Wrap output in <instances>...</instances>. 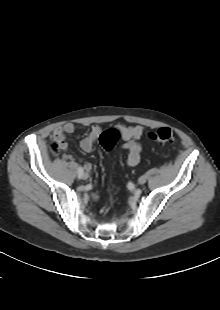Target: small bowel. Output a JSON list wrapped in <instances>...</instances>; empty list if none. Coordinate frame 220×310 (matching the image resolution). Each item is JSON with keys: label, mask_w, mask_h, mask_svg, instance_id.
Segmentation results:
<instances>
[{"label": "small bowel", "mask_w": 220, "mask_h": 310, "mask_svg": "<svg viewBox=\"0 0 220 310\" xmlns=\"http://www.w3.org/2000/svg\"><path fill=\"white\" fill-rule=\"evenodd\" d=\"M117 128L124 140L121 148L127 152L126 163L131 167L136 166L140 162L141 158L142 145L140 143V139L144 133V129L140 125H118ZM74 130V125L72 123H67L53 131L52 140L59 145L62 151H66L68 147L66 136L73 133ZM101 133L102 128L99 125L92 126L90 132L80 142L81 149L84 152H91L94 149V145L99 139ZM66 157L68 156L66 155ZM84 168L87 173L92 170L90 163H85Z\"/></svg>", "instance_id": "c3829d8e"}]
</instances>
